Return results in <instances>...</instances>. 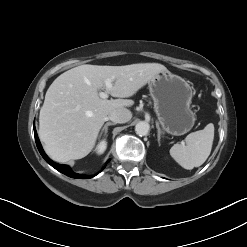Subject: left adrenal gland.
Segmentation results:
<instances>
[{
    "label": "left adrenal gland",
    "instance_id": "1",
    "mask_svg": "<svg viewBox=\"0 0 247 247\" xmlns=\"http://www.w3.org/2000/svg\"><path fill=\"white\" fill-rule=\"evenodd\" d=\"M156 128H157V131H158V134H157V140H158V144L160 146V140H161V129L159 127V124L158 122H156Z\"/></svg>",
    "mask_w": 247,
    "mask_h": 247
}]
</instances>
